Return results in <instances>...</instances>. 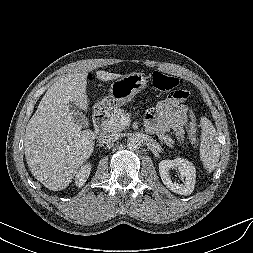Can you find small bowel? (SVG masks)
Masks as SVG:
<instances>
[{"mask_svg":"<svg viewBox=\"0 0 253 253\" xmlns=\"http://www.w3.org/2000/svg\"><path fill=\"white\" fill-rule=\"evenodd\" d=\"M181 101L183 99H175L171 96L159 101L146 115L149 129L159 135L173 130L177 138L184 141L191 128V123L189 109L180 105Z\"/></svg>","mask_w":253,"mask_h":253,"instance_id":"obj_1","label":"small bowel"}]
</instances>
